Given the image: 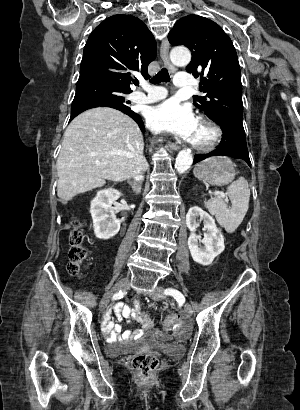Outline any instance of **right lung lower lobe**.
<instances>
[{
    "label": "right lung lower lobe",
    "instance_id": "1",
    "mask_svg": "<svg viewBox=\"0 0 300 410\" xmlns=\"http://www.w3.org/2000/svg\"><path fill=\"white\" fill-rule=\"evenodd\" d=\"M111 107V108H115L117 110L122 111L123 113L127 114L128 116H130L131 118H133L137 124L139 125L140 129L142 131H144V124L143 121L141 119V117L135 113L134 111H132L130 108H126L123 106H118V105H113V104H107V103H100V104H93V105H88V106H84L81 108H78L76 110L71 111V117H70V121L75 118L78 114H80L81 112L90 109V108H94V107Z\"/></svg>",
    "mask_w": 300,
    "mask_h": 410
}]
</instances>
